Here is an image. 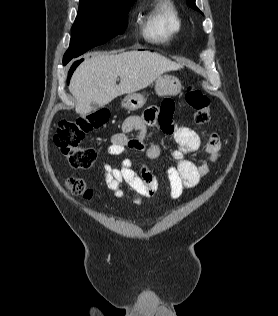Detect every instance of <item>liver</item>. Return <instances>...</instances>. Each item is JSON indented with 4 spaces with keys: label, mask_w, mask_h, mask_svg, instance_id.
Returning <instances> with one entry per match:
<instances>
[{
    "label": "liver",
    "mask_w": 278,
    "mask_h": 316,
    "mask_svg": "<svg viewBox=\"0 0 278 316\" xmlns=\"http://www.w3.org/2000/svg\"><path fill=\"white\" fill-rule=\"evenodd\" d=\"M181 66L150 51H129L118 55L96 53L86 58L75 70L69 91L76 98V112L87 115L91 103L104 106L123 94H132L148 87L167 71ZM120 77L119 85L116 84Z\"/></svg>",
    "instance_id": "obj_1"
}]
</instances>
